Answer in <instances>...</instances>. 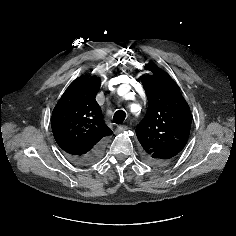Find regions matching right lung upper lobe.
<instances>
[{
  "label": "right lung upper lobe",
  "instance_id": "right-lung-upper-lobe-1",
  "mask_svg": "<svg viewBox=\"0 0 236 236\" xmlns=\"http://www.w3.org/2000/svg\"><path fill=\"white\" fill-rule=\"evenodd\" d=\"M99 87L100 80L86 77L75 79L52 112L54 138L68 155L85 154L112 134L95 100Z\"/></svg>",
  "mask_w": 236,
  "mask_h": 236
}]
</instances>
